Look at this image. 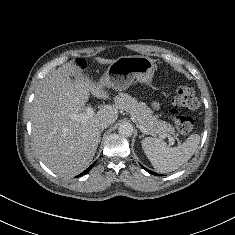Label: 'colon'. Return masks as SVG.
Listing matches in <instances>:
<instances>
[{
  "instance_id": "1",
  "label": "colon",
  "mask_w": 235,
  "mask_h": 235,
  "mask_svg": "<svg viewBox=\"0 0 235 235\" xmlns=\"http://www.w3.org/2000/svg\"><path fill=\"white\" fill-rule=\"evenodd\" d=\"M199 101L195 95L194 89L188 85L179 86L176 89L171 112L176 129L182 134H188L193 130L194 121L191 117L179 114L180 108L196 109Z\"/></svg>"
}]
</instances>
